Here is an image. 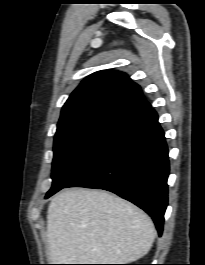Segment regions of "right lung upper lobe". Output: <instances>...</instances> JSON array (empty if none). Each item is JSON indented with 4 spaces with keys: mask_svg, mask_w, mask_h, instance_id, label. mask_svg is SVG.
I'll return each mask as SVG.
<instances>
[{
    "mask_svg": "<svg viewBox=\"0 0 205 265\" xmlns=\"http://www.w3.org/2000/svg\"><path fill=\"white\" fill-rule=\"evenodd\" d=\"M151 109L141 88L127 74L102 70L87 76L61 112L56 133L100 123L128 125Z\"/></svg>",
    "mask_w": 205,
    "mask_h": 265,
    "instance_id": "1",
    "label": "right lung upper lobe"
}]
</instances>
